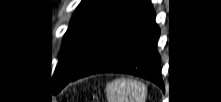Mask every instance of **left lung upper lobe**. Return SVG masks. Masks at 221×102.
Segmentation results:
<instances>
[{
    "label": "left lung upper lobe",
    "mask_w": 221,
    "mask_h": 102,
    "mask_svg": "<svg viewBox=\"0 0 221 102\" xmlns=\"http://www.w3.org/2000/svg\"><path fill=\"white\" fill-rule=\"evenodd\" d=\"M139 0H82L72 16L56 66L53 87L70 80Z\"/></svg>",
    "instance_id": "left-lung-upper-lobe-1"
}]
</instances>
